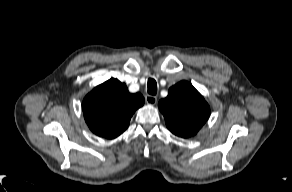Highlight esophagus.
I'll list each match as a JSON object with an SVG mask.
<instances>
[{
  "instance_id": "34e87169",
  "label": "esophagus",
  "mask_w": 292,
  "mask_h": 192,
  "mask_svg": "<svg viewBox=\"0 0 292 192\" xmlns=\"http://www.w3.org/2000/svg\"><path fill=\"white\" fill-rule=\"evenodd\" d=\"M145 101H146V103H148L150 105H154L157 102V98L155 96H152V95H146Z\"/></svg>"
}]
</instances>
